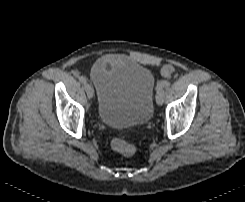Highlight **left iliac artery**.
I'll use <instances>...</instances> for the list:
<instances>
[{"instance_id": "obj_1", "label": "left iliac artery", "mask_w": 245, "mask_h": 202, "mask_svg": "<svg viewBox=\"0 0 245 202\" xmlns=\"http://www.w3.org/2000/svg\"><path fill=\"white\" fill-rule=\"evenodd\" d=\"M168 85H169L168 81L164 80V81L159 82L157 85V93L159 92L160 89L167 87Z\"/></svg>"}]
</instances>
